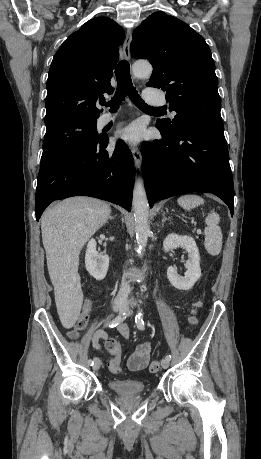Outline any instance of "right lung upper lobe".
I'll use <instances>...</instances> for the list:
<instances>
[{"label":"right lung upper lobe","mask_w":261,"mask_h":459,"mask_svg":"<svg viewBox=\"0 0 261 459\" xmlns=\"http://www.w3.org/2000/svg\"><path fill=\"white\" fill-rule=\"evenodd\" d=\"M125 34L97 17L71 34L55 54L47 79L46 127L66 120H96L97 99L113 92L110 80Z\"/></svg>","instance_id":"1"}]
</instances>
